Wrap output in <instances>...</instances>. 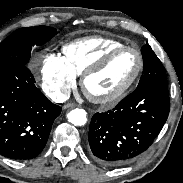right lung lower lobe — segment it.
Returning a JSON list of instances; mask_svg holds the SVG:
<instances>
[{
    "instance_id": "obj_1",
    "label": "right lung lower lobe",
    "mask_w": 183,
    "mask_h": 183,
    "mask_svg": "<svg viewBox=\"0 0 183 183\" xmlns=\"http://www.w3.org/2000/svg\"><path fill=\"white\" fill-rule=\"evenodd\" d=\"M34 82L26 65L0 69V154L5 157H36L61 113Z\"/></svg>"
}]
</instances>
